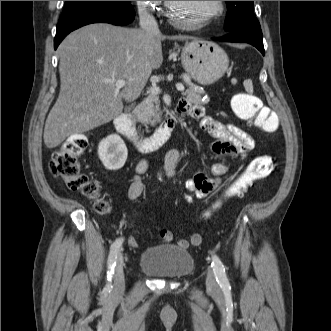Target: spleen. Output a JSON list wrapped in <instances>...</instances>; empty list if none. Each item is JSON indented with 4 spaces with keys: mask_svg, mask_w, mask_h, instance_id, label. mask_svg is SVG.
<instances>
[{
    "mask_svg": "<svg viewBox=\"0 0 331 331\" xmlns=\"http://www.w3.org/2000/svg\"><path fill=\"white\" fill-rule=\"evenodd\" d=\"M249 91L251 92L252 91V85L250 84V87H249Z\"/></svg>",
    "mask_w": 331,
    "mask_h": 331,
    "instance_id": "3e777b00",
    "label": "spleen"
}]
</instances>
